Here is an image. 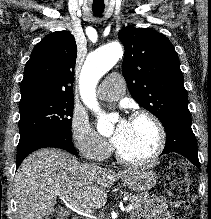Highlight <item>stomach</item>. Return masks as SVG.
Wrapping results in <instances>:
<instances>
[{"label": "stomach", "instance_id": "1", "mask_svg": "<svg viewBox=\"0 0 211 219\" xmlns=\"http://www.w3.org/2000/svg\"><path fill=\"white\" fill-rule=\"evenodd\" d=\"M158 180L157 174L148 168H138L132 175L124 176V186L136 192H145L153 188Z\"/></svg>", "mask_w": 211, "mask_h": 219}]
</instances>
